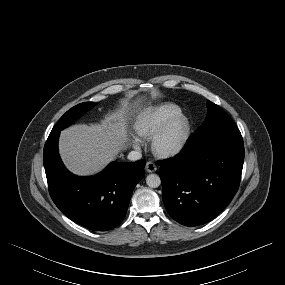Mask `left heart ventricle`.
<instances>
[{"instance_id":"left-heart-ventricle-1","label":"left heart ventricle","mask_w":285,"mask_h":285,"mask_svg":"<svg viewBox=\"0 0 285 285\" xmlns=\"http://www.w3.org/2000/svg\"><path fill=\"white\" fill-rule=\"evenodd\" d=\"M178 133H179V126L175 127L169 137V142H173L177 136H178Z\"/></svg>"}]
</instances>
